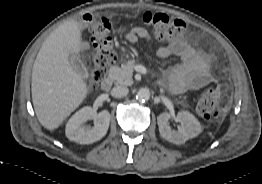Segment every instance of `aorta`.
I'll return each mask as SVG.
<instances>
[{"label":"aorta","mask_w":262,"mask_h":184,"mask_svg":"<svg viewBox=\"0 0 262 184\" xmlns=\"http://www.w3.org/2000/svg\"><path fill=\"white\" fill-rule=\"evenodd\" d=\"M136 98L139 101H147L150 99V91L147 88H141L138 90Z\"/></svg>","instance_id":"aorta-1"}]
</instances>
